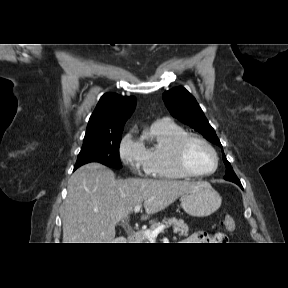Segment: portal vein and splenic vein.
Returning <instances> with one entry per match:
<instances>
[{"label":"portal vein and splenic vein","instance_id":"portal-vein-and-splenic-vein-1","mask_svg":"<svg viewBox=\"0 0 288 288\" xmlns=\"http://www.w3.org/2000/svg\"><path fill=\"white\" fill-rule=\"evenodd\" d=\"M140 209H141V204H138V205H136V206L134 207V212H135V213H138V212L140 211ZM165 228H166L165 225H161V226L157 227V228H156L155 230H153V231L145 230V231H143V234L145 235V237H146L149 241H154V240L157 238L158 234H159L160 232H162Z\"/></svg>","mask_w":288,"mask_h":288}]
</instances>
